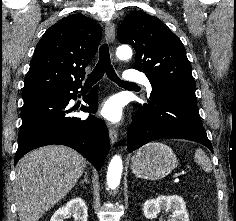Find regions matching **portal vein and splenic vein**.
<instances>
[{
    "instance_id": "portal-vein-and-splenic-vein-1",
    "label": "portal vein and splenic vein",
    "mask_w": 236,
    "mask_h": 221,
    "mask_svg": "<svg viewBox=\"0 0 236 221\" xmlns=\"http://www.w3.org/2000/svg\"><path fill=\"white\" fill-rule=\"evenodd\" d=\"M181 174H183V172L176 173V174L174 175V178L177 179Z\"/></svg>"
}]
</instances>
